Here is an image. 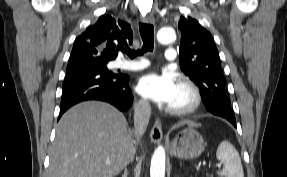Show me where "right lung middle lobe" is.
Instances as JSON below:
<instances>
[{
	"label": "right lung middle lobe",
	"mask_w": 287,
	"mask_h": 177,
	"mask_svg": "<svg viewBox=\"0 0 287 177\" xmlns=\"http://www.w3.org/2000/svg\"><path fill=\"white\" fill-rule=\"evenodd\" d=\"M109 61L110 60L100 58L98 56H87V57L79 58L76 60L68 61V66H67L66 71L78 69L81 67H89V66L101 68L104 71H108L106 64Z\"/></svg>",
	"instance_id": "1"
}]
</instances>
